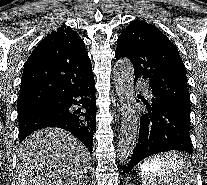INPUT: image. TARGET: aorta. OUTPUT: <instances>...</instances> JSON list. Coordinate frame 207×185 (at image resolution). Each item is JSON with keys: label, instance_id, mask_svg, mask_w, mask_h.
<instances>
[{"label": "aorta", "instance_id": "762f6f07", "mask_svg": "<svg viewBox=\"0 0 207 185\" xmlns=\"http://www.w3.org/2000/svg\"><path fill=\"white\" fill-rule=\"evenodd\" d=\"M114 84L121 105V128L117 158L128 161L137 142L139 120L135 110L134 68L127 58L118 60L113 69Z\"/></svg>", "mask_w": 207, "mask_h": 185}]
</instances>
